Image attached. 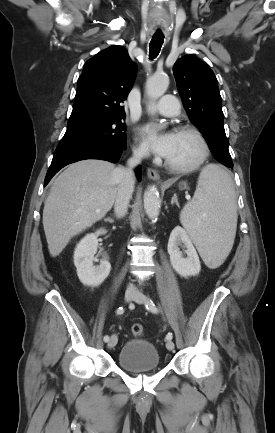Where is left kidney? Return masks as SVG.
Here are the masks:
<instances>
[{"mask_svg":"<svg viewBox=\"0 0 275 433\" xmlns=\"http://www.w3.org/2000/svg\"><path fill=\"white\" fill-rule=\"evenodd\" d=\"M179 246L186 248L187 257L183 256ZM168 253L174 270L183 277L195 276L201 270L200 260L195 247L187 232L180 226H176L169 237Z\"/></svg>","mask_w":275,"mask_h":433,"instance_id":"obj_1","label":"left kidney"}]
</instances>
